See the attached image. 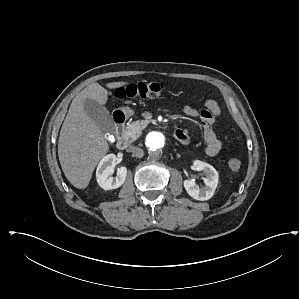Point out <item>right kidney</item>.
<instances>
[{
  "label": "right kidney",
  "mask_w": 299,
  "mask_h": 299,
  "mask_svg": "<svg viewBox=\"0 0 299 299\" xmlns=\"http://www.w3.org/2000/svg\"><path fill=\"white\" fill-rule=\"evenodd\" d=\"M116 159L117 158L115 154H108L103 157L98 164L96 170V179L99 186L104 190L117 189L124 183L126 179V167L118 168L116 176H112Z\"/></svg>",
  "instance_id": "ca27d5eb"
}]
</instances>
